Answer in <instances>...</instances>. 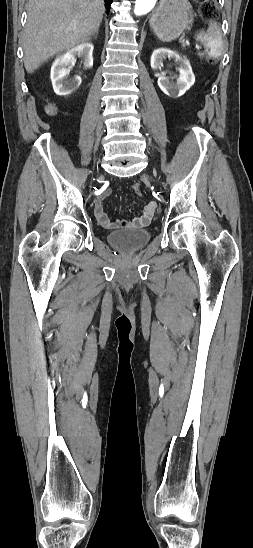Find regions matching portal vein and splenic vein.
<instances>
[{"label":"portal vein and splenic vein","instance_id":"18ae733b","mask_svg":"<svg viewBox=\"0 0 253 548\" xmlns=\"http://www.w3.org/2000/svg\"><path fill=\"white\" fill-rule=\"evenodd\" d=\"M195 48L199 50V49H201V46L198 45V44H196V45H195Z\"/></svg>","mask_w":253,"mask_h":548}]
</instances>
